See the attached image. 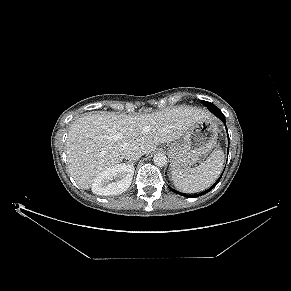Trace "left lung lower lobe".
<instances>
[{
  "instance_id": "left-lung-lower-lobe-1",
  "label": "left lung lower lobe",
  "mask_w": 291,
  "mask_h": 291,
  "mask_svg": "<svg viewBox=\"0 0 291 291\" xmlns=\"http://www.w3.org/2000/svg\"><path fill=\"white\" fill-rule=\"evenodd\" d=\"M211 112L212 113H214L216 116H218L222 121H223V123L224 124H226L225 123V116L222 114V112L217 108V109H214V110H211ZM227 129V128H226ZM228 132V131H227ZM228 138H229V136H228ZM229 149V148H228ZM222 176V175H221ZM221 176L219 177V179L208 189V190H206V191H204V192H202V193H200V194H195V195H184L183 194V196H185V197H198V196H200V195H203V194H205V193H207V192H209L214 186H216V184L219 182V180H220V178H221ZM173 191V190H172ZM173 192H175V191H173ZM182 195V194H181Z\"/></svg>"
}]
</instances>
